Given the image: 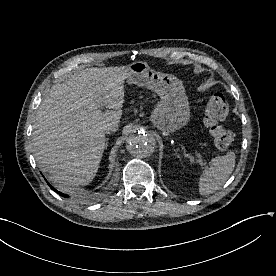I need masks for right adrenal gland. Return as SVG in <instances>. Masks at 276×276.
<instances>
[{
  "label": "right adrenal gland",
  "instance_id": "right-adrenal-gland-1",
  "mask_svg": "<svg viewBox=\"0 0 276 276\" xmlns=\"http://www.w3.org/2000/svg\"><path fill=\"white\" fill-rule=\"evenodd\" d=\"M108 138H106V142H105V149L107 148V146H108Z\"/></svg>",
  "mask_w": 276,
  "mask_h": 276
}]
</instances>
